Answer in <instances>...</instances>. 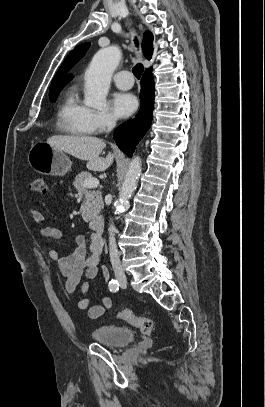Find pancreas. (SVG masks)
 Listing matches in <instances>:
<instances>
[{
	"label": "pancreas",
	"mask_w": 265,
	"mask_h": 407,
	"mask_svg": "<svg viewBox=\"0 0 265 407\" xmlns=\"http://www.w3.org/2000/svg\"><path fill=\"white\" fill-rule=\"evenodd\" d=\"M90 178H92L91 173L81 172L75 177L73 182L76 190L81 192L85 197L81 206V213L85 220H90L92 217L99 214L103 208L101 192L88 190V188L83 185L84 181Z\"/></svg>",
	"instance_id": "cf45deb5"
}]
</instances>
